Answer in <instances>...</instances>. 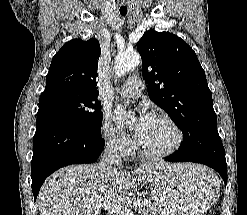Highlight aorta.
<instances>
[{
	"label": "aorta",
	"instance_id": "1",
	"mask_svg": "<svg viewBox=\"0 0 247 215\" xmlns=\"http://www.w3.org/2000/svg\"><path fill=\"white\" fill-rule=\"evenodd\" d=\"M140 63V55L136 52H123L120 53L114 64L115 74L118 77L125 75L132 68L136 67Z\"/></svg>",
	"mask_w": 247,
	"mask_h": 215
}]
</instances>
